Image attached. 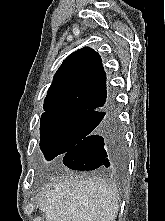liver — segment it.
I'll return each mask as SVG.
<instances>
[{
  "label": "liver",
  "instance_id": "obj_1",
  "mask_svg": "<svg viewBox=\"0 0 165 221\" xmlns=\"http://www.w3.org/2000/svg\"><path fill=\"white\" fill-rule=\"evenodd\" d=\"M116 191L103 180L65 175L44 191L45 221H115Z\"/></svg>",
  "mask_w": 165,
  "mask_h": 221
}]
</instances>
